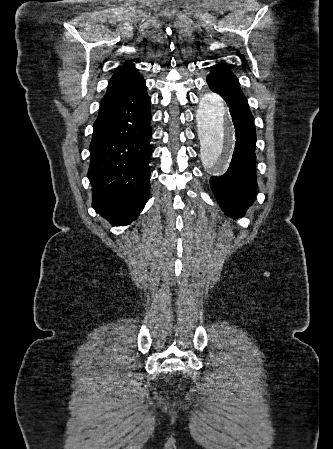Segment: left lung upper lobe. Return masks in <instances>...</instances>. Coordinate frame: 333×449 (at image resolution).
Wrapping results in <instances>:
<instances>
[{
	"label": "left lung upper lobe",
	"mask_w": 333,
	"mask_h": 449,
	"mask_svg": "<svg viewBox=\"0 0 333 449\" xmlns=\"http://www.w3.org/2000/svg\"><path fill=\"white\" fill-rule=\"evenodd\" d=\"M214 67H215V70H214V71L221 72V73H226V74H229V75L234 76L233 73H232L230 70H228V69H227L224 65H222V64H217V65H215Z\"/></svg>",
	"instance_id": "1"
}]
</instances>
